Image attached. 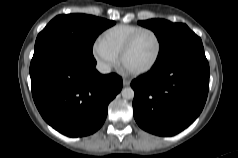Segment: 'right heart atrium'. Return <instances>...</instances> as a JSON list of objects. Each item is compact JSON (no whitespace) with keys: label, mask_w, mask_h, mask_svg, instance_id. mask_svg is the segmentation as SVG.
<instances>
[{"label":"right heart atrium","mask_w":238,"mask_h":158,"mask_svg":"<svg viewBox=\"0 0 238 158\" xmlns=\"http://www.w3.org/2000/svg\"><path fill=\"white\" fill-rule=\"evenodd\" d=\"M92 53L99 67L105 72H109L119 62L118 55L108 48L100 39L94 42Z\"/></svg>","instance_id":"d8ad5b80"}]
</instances>
